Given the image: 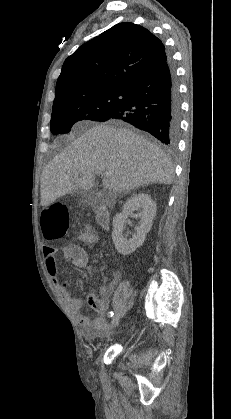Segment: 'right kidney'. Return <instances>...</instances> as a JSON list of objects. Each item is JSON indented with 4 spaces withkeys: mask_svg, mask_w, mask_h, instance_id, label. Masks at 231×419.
Listing matches in <instances>:
<instances>
[{
    "mask_svg": "<svg viewBox=\"0 0 231 419\" xmlns=\"http://www.w3.org/2000/svg\"><path fill=\"white\" fill-rule=\"evenodd\" d=\"M137 210L140 211L139 226L136 228V233L132 235V238L126 239L123 236L124 224L128 216ZM155 215L156 203L148 194H136L125 202L122 212L116 214L113 218L112 240L119 253L123 255L131 254L144 243L146 235L152 227Z\"/></svg>",
    "mask_w": 231,
    "mask_h": 419,
    "instance_id": "right-kidney-1",
    "label": "right kidney"
}]
</instances>
